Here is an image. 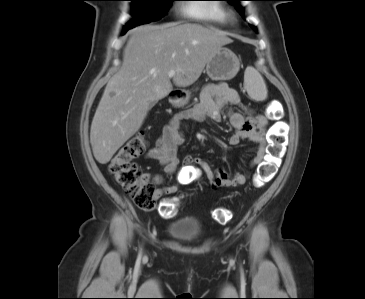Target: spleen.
<instances>
[{"label":"spleen","instance_id":"spleen-1","mask_svg":"<svg viewBox=\"0 0 365 299\" xmlns=\"http://www.w3.org/2000/svg\"><path fill=\"white\" fill-rule=\"evenodd\" d=\"M244 86L248 95L255 101H264L267 98V87L262 75L252 66L244 73Z\"/></svg>","mask_w":365,"mask_h":299}]
</instances>
